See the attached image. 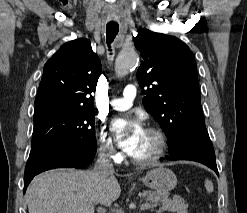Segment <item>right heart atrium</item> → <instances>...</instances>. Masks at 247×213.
<instances>
[{
	"label": "right heart atrium",
	"instance_id": "d8ad5b80",
	"mask_svg": "<svg viewBox=\"0 0 247 213\" xmlns=\"http://www.w3.org/2000/svg\"><path fill=\"white\" fill-rule=\"evenodd\" d=\"M98 152L101 157L113 162H119L122 155L117 151L115 145L104 128L98 132Z\"/></svg>",
	"mask_w": 247,
	"mask_h": 213
}]
</instances>
